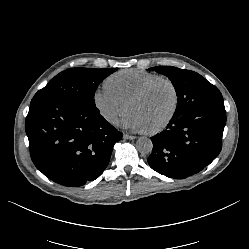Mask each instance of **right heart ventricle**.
I'll use <instances>...</instances> for the list:
<instances>
[{"label":"right heart ventricle","instance_id":"1","mask_svg":"<svg viewBox=\"0 0 249 249\" xmlns=\"http://www.w3.org/2000/svg\"><path fill=\"white\" fill-rule=\"evenodd\" d=\"M161 77L160 74L141 69H124L117 71L105 80V86L122 100L128 102L130 97L151 80Z\"/></svg>","mask_w":249,"mask_h":249}]
</instances>
